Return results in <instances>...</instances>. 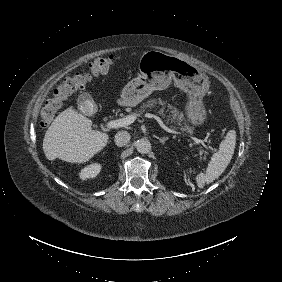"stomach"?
<instances>
[{"label":"stomach","mask_w":282,"mask_h":282,"mask_svg":"<svg viewBox=\"0 0 282 282\" xmlns=\"http://www.w3.org/2000/svg\"><path fill=\"white\" fill-rule=\"evenodd\" d=\"M139 70L141 74L122 89L123 106H137L154 90L166 89L173 80L191 96L187 107L191 120L195 123L203 120L205 112L200 98L209 88V79L196 66L175 55L150 50L142 54Z\"/></svg>","instance_id":"1"}]
</instances>
